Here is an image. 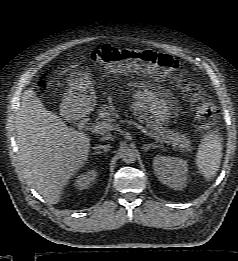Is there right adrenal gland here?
<instances>
[{
  "mask_svg": "<svg viewBox=\"0 0 238 261\" xmlns=\"http://www.w3.org/2000/svg\"><path fill=\"white\" fill-rule=\"evenodd\" d=\"M107 151V149H105V150H103V151H98V152H95V153H93V154H101V153H104V152H106Z\"/></svg>",
  "mask_w": 238,
  "mask_h": 261,
  "instance_id": "2a0ac1e0",
  "label": "right adrenal gland"
}]
</instances>
